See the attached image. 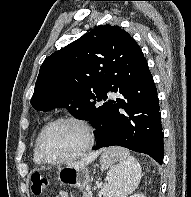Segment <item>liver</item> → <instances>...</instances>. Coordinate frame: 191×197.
Wrapping results in <instances>:
<instances>
[{
    "label": "liver",
    "instance_id": "6515ba94",
    "mask_svg": "<svg viewBox=\"0 0 191 197\" xmlns=\"http://www.w3.org/2000/svg\"><path fill=\"white\" fill-rule=\"evenodd\" d=\"M100 152L101 151L94 152V153L90 154L88 157H86L80 161L71 163L69 166L77 167V168L84 167V166L90 164L91 162H93L98 157Z\"/></svg>",
    "mask_w": 191,
    "mask_h": 197
}]
</instances>
